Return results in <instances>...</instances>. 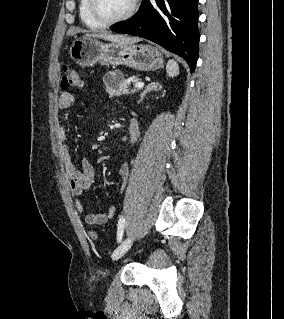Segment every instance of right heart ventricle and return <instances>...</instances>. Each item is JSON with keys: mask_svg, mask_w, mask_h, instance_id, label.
I'll return each mask as SVG.
<instances>
[{"mask_svg": "<svg viewBox=\"0 0 284 319\" xmlns=\"http://www.w3.org/2000/svg\"><path fill=\"white\" fill-rule=\"evenodd\" d=\"M89 1L88 0H79L78 3V12L79 17L82 23L89 29L98 30L104 27L103 24L99 23L93 18L89 11Z\"/></svg>", "mask_w": 284, "mask_h": 319, "instance_id": "1", "label": "right heart ventricle"}]
</instances>
